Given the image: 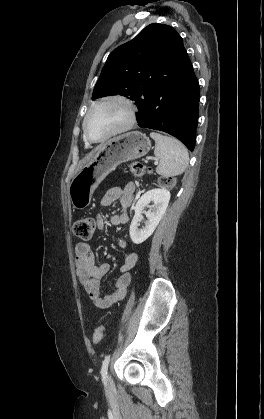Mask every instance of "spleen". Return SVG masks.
Returning a JSON list of instances; mask_svg holds the SVG:
<instances>
[{
    "label": "spleen",
    "mask_w": 264,
    "mask_h": 419,
    "mask_svg": "<svg viewBox=\"0 0 264 419\" xmlns=\"http://www.w3.org/2000/svg\"><path fill=\"white\" fill-rule=\"evenodd\" d=\"M155 141L154 155L159 159L156 172L165 177L182 174L188 166L189 155L185 146L176 138L151 132Z\"/></svg>",
    "instance_id": "spleen-1"
}]
</instances>
